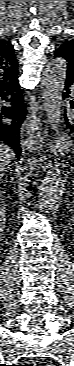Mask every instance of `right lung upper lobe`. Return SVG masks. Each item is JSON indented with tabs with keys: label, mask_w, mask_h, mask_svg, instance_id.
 Instances as JSON below:
<instances>
[{
	"label": "right lung upper lobe",
	"mask_w": 74,
	"mask_h": 366,
	"mask_svg": "<svg viewBox=\"0 0 74 366\" xmlns=\"http://www.w3.org/2000/svg\"><path fill=\"white\" fill-rule=\"evenodd\" d=\"M18 81V63L10 42L0 39V87Z\"/></svg>",
	"instance_id": "1"
}]
</instances>
